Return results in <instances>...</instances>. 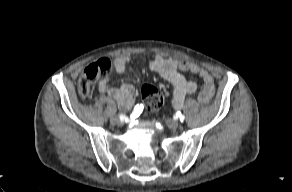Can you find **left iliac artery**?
<instances>
[{
	"label": "left iliac artery",
	"instance_id": "left-iliac-artery-1",
	"mask_svg": "<svg viewBox=\"0 0 292 192\" xmlns=\"http://www.w3.org/2000/svg\"><path fill=\"white\" fill-rule=\"evenodd\" d=\"M177 117L179 118V120L181 121V122H183L184 121V119H185V116L184 115H182L181 114V112H177Z\"/></svg>",
	"mask_w": 292,
	"mask_h": 192
}]
</instances>
